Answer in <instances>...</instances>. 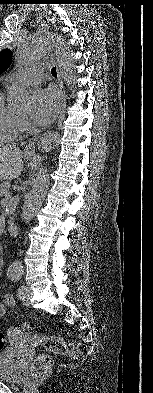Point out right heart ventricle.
Wrapping results in <instances>:
<instances>
[{"label":"right heart ventricle","instance_id":"right-heart-ventricle-1","mask_svg":"<svg viewBox=\"0 0 153 393\" xmlns=\"http://www.w3.org/2000/svg\"><path fill=\"white\" fill-rule=\"evenodd\" d=\"M22 131V121L6 109L4 94L0 93V144L15 140Z\"/></svg>","mask_w":153,"mask_h":393}]
</instances>
